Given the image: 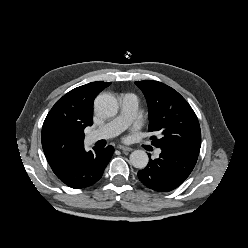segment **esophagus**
Segmentation results:
<instances>
[{
    "label": "esophagus",
    "mask_w": 248,
    "mask_h": 248,
    "mask_svg": "<svg viewBox=\"0 0 248 248\" xmlns=\"http://www.w3.org/2000/svg\"><path fill=\"white\" fill-rule=\"evenodd\" d=\"M118 148L122 151V152H130L132 151L131 147L125 146V145H120L118 146Z\"/></svg>",
    "instance_id": "esophagus-1"
}]
</instances>
